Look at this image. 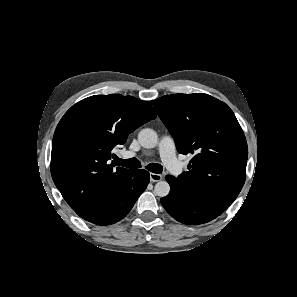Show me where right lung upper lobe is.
<instances>
[{"mask_svg":"<svg viewBox=\"0 0 297 297\" xmlns=\"http://www.w3.org/2000/svg\"><path fill=\"white\" fill-rule=\"evenodd\" d=\"M156 116L148 101L112 94L85 98L62 117L53 136L51 175L81 218L92 216L130 176L131 169H113L112 149Z\"/></svg>","mask_w":297,"mask_h":297,"instance_id":"cb5924a9","label":"right lung upper lobe"}]
</instances>
